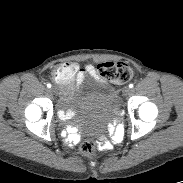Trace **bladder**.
Returning a JSON list of instances; mask_svg holds the SVG:
<instances>
[{
  "instance_id": "1",
  "label": "bladder",
  "mask_w": 183,
  "mask_h": 183,
  "mask_svg": "<svg viewBox=\"0 0 183 183\" xmlns=\"http://www.w3.org/2000/svg\"><path fill=\"white\" fill-rule=\"evenodd\" d=\"M76 114L80 117L99 118L110 115L118 107L117 92L105 82L70 96Z\"/></svg>"
}]
</instances>
